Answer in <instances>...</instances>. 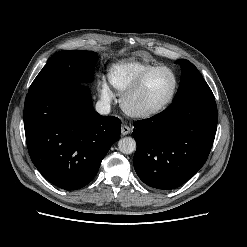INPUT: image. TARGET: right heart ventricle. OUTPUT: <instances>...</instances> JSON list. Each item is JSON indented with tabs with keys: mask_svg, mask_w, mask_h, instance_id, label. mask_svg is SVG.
<instances>
[{
	"mask_svg": "<svg viewBox=\"0 0 247 247\" xmlns=\"http://www.w3.org/2000/svg\"><path fill=\"white\" fill-rule=\"evenodd\" d=\"M153 66L150 62L133 59L120 61L110 66L108 81L118 93L123 94L141 73Z\"/></svg>",
	"mask_w": 247,
	"mask_h": 247,
	"instance_id": "right-heart-ventricle-1",
	"label": "right heart ventricle"
}]
</instances>
